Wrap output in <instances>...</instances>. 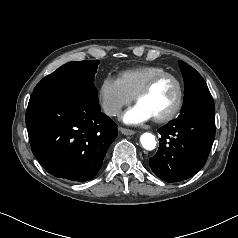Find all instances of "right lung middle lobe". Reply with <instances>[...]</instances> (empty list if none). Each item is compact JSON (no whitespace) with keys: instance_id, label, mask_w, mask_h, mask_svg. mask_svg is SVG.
Instances as JSON below:
<instances>
[{"instance_id":"1","label":"right lung middle lobe","mask_w":238,"mask_h":238,"mask_svg":"<svg viewBox=\"0 0 238 238\" xmlns=\"http://www.w3.org/2000/svg\"><path fill=\"white\" fill-rule=\"evenodd\" d=\"M98 64V60L69 62L44 77L34 88L33 94L80 92L98 101L94 86Z\"/></svg>"}]
</instances>
